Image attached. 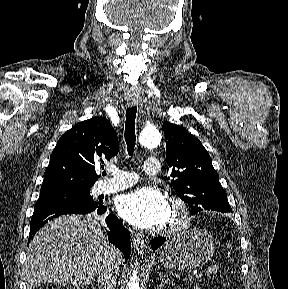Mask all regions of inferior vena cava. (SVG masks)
I'll return each mask as SVG.
<instances>
[{
  "instance_id": "602c4592",
  "label": "inferior vena cava",
  "mask_w": 288,
  "mask_h": 289,
  "mask_svg": "<svg viewBox=\"0 0 288 289\" xmlns=\"http://www.w3.org/2000/svg\"><path fill=\"white\" fill-rule=\"evenodd\" d=\"M115 256L116 251L97 275L99 289H115L120 264L116 261Z\"/></svg>"
}]
</instances>
